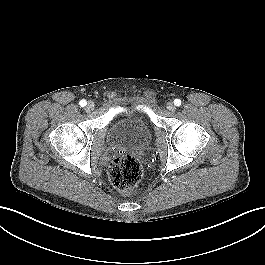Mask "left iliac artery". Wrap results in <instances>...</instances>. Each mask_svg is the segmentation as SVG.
I'll return each mask as SVG.
<instances>
[{"label":"left iliac artery","mask_w":265,"mask_h":265,"mask_svg":"<svg viewBox=\"0 0 265 265\" xmlns=\"http://www.w3.org/2000/svg\"><path fill=\"white\" fill-rule=\"evenodd\" d=\"M174 105L180 106L181 105V100L180 99H175L174 100Z\"/></svg>","instance_id":"obj_1"}]
</instances>
